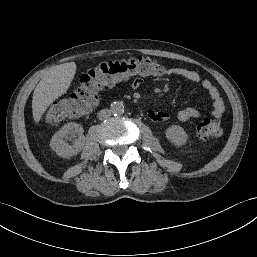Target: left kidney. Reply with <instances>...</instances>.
<instances>
[{"instance_id": "left-kidney-1", "label": "left kidney", "mask_w": 257, "mask_h": 257, "mask_svg": "<svg viewBox=\"0 0 257 257\" xmlns=\"http://www.w3.org/2000/svg\"><path fill=\"white\" fill-rule=\"evenodd\" d=\"M166 138L175 145H182L187 142L188 135L181 126L173 125L166 129Z\"/></svg>"}]
</instances>
